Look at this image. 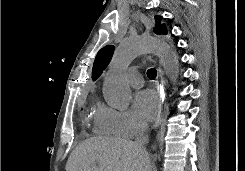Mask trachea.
Returning a JSON list of instances; mask_svg holds the SVG:
<instances>
[{"label": "trachea", "mask_w": 245, "mask_h": 171, "mask_svg": "<svg viewBox=\"0 0 245 171\" xmlns=\"http://www.w3.org/2000/svg\"><path fill=\"white\" fill-rule=\"evenodd\" d=\"M157 75V71L156 69L154 68H151L147 71V76L150 78V79H154Z\"/></svg>", "instance_id": "1"}]
</instances>
